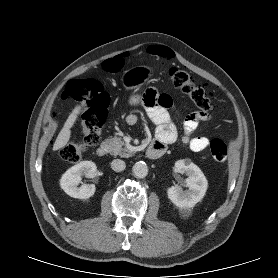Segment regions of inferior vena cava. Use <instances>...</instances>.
<instances>
[{
    "mask_svg": "<svg viewBox=\"0 0 278 278\" xmlns=\"http://www.w3.org/2000/svg\"><path fill=\"white\" fill-rule=\"evenodd\" d=\"M111 168L116 172H120L126 168V164L123 160L115 159L111 162Z\"/></svg>",
    "mask_w": 278,
    "mask_h": 278,
    "instance_id": "obj_1",
    "label": "inferior vena cava"
}]
</instances>
